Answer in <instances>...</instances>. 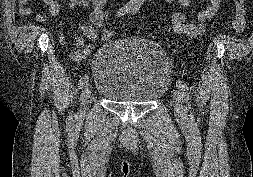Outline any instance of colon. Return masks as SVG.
<instances>
[{"mask_svg": "<svg viewBox=\"0 0 253 177\" xmlns=\"http://www.w3.org/2000/svg\"><path fill=\"white\" fill-rule=\"evenodd\" d=\"M235 5L234 16L231 21V29L240 34L244 31L247 24V9L245 0H233ZM115 7L109 6L104 12V24L101 29V40L104 43L110 42L114 38L115 26L113 16Z\"/></svg>", "mask_w": 253, "mask_h": 177, "instance_id": "5ec220e1", "label": "colon"}]
</instances>
